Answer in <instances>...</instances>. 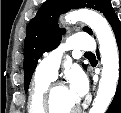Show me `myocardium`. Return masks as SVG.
<instances>
[{
    "mask_svg": "<svg viewBox=\"0 0 121 113\" xmlns=\"http://www.w3.org/2000/svg\"><path fill=\"white\" fill-rule=\"evenodd\" d=\"M64 85L60 82L52 84L47 87L45 91V105H46V110L48 111L47 113H55L52 111L53 107V100H52V94L55 88L57 87H63ZM80 110V107H76L74 110L68 112V113H74L75 111Z\"/></svg>",
    "mask_w": 121,
    "mask_h": 113,
    "instance_id": "obj_1",
    "label": "myocardium"
}]
</instances>
